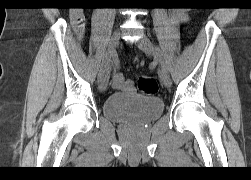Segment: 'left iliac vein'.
I'll use <instances>...</instances> for the list:
<instances>
[{
  "instance_id": "1",
  "label": "left iliac vein",
  "mask_w": 251,
  "mask_h": 180,
  "mask_svg": "<svg viewBox=\"0 0 251 180\" xmlns=\"http://www.w3.org/2000/svg\"><path fill=\"white\" fill-rule=\"evenodd\" d=\"M137 46L148 56H152L154 54L153 44L150 39L146 36H143L136 42ZM159 77L161 82L166 86L170 87L172 82L168 72L164 69L159 71Z\"/></svg>"
}]
</instances>
